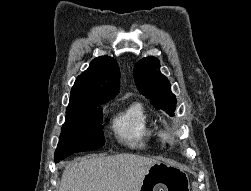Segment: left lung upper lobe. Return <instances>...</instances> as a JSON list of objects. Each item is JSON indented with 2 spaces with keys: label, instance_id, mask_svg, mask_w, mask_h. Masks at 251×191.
I'll return each mask as SVG.
<instances>
[{
  "label": "left lung upper lobe",
  "instance_id": "left-lung-upper-lobe-1",
  "mask_svg": "<svg viewBox=\"0 0 251 191\" xmlns=\"http://www.w3.org/2000/svg\"><path fill=\"white\" fill-rule=\"evenodd\" d=\"M133 76L139 92L150 99L155 108L174 116L177 100L168 79L160 73L158 59L146 57L140 60L134 67Z\"/></svg>",
  "mask_w": 251,
  "mask_h": 191
}]
</instances>
